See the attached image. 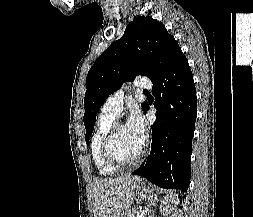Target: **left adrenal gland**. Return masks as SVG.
Here are the masks:
<instances>
[{"label": "left adrenal gland", "mask_w": 253, "mask_h": 217, "mask_svg": "<svg viewBox=\"0 0 253 217\" xmlns=\"http://www.w3.org/2000/svg\"><path fill=\"white\" fill-rule=\"evenodd\" d=\"M155 201H158L157 198H154V200H149L148 201V204L146 206V217H154V214H153V210H152V205L155 204Z\"/></svg>", "instance_id": "a2214340"}]
</instances>
